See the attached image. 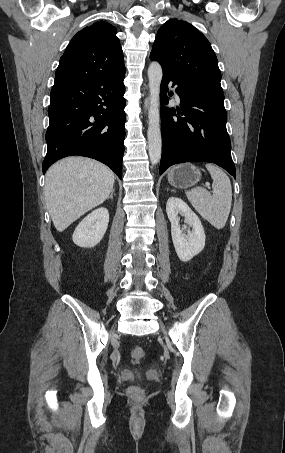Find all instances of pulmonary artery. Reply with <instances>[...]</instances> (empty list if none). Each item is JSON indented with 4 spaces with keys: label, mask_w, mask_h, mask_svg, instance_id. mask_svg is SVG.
Here are the masks:
<instances>
[{
    "label": "pulmonary artery",
    "mask_w": 285,
    "mask_h": 453,
    "mask_svg": "<svg viewBox=\"0 0 285 453\" xmlns=\"http://www.w3.org/2000/svg\"><path fill=\"white\" fill-rule=\"evenodd\" d=\"M174 90H175V88H174ZM175 95H176V97H177V98H179V96H178V94H177V92H176V91H175Z\"/></svg>",
    "instance_id": "e3ab8cb5"
}]
</instances>
